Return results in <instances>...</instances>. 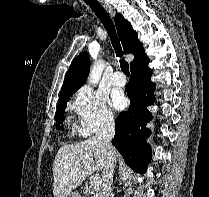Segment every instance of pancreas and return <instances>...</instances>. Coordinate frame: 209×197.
<instances>
[{
	"instance_id": "cf45deb5",
	"label": "pancreas",
	"mask_w": 209,
	"mask_h": 197,
	"mask_svg": "<svg viewBox=\"0 0 209 197\" xmlns=\"http://www.w3.org/2000/svg\"><path fill=\"white\" fill-rule=\"evenodd\" d=\"M101 185H95L93 182L86 185L83 193L85 195H91V197H100Z\"/></svg>"
}]
</instances>
